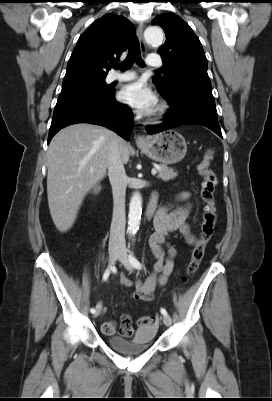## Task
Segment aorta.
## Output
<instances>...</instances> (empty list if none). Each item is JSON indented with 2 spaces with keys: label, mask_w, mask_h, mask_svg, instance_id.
Masks as SVG:
<instances>
[{
  "label": "aorta",
  "mask_w": 272,
  "mask_h": 401,
  "mask_svg": "<svg viewBox=\"0 0 272 401\" xmlns=\"http://www.w3.org/2000/svg\"><path fill=\"white\" fill-rule=\"evenodd\" d=\"M144 37L151 45H161L164 39L163 31L156 26L146 28ZM142 214V199L139 193H134L129 204L128 231L135 234L139 228Z\"/></svg>",
  "instance_id": "762f6f07"
}]
</instances>
